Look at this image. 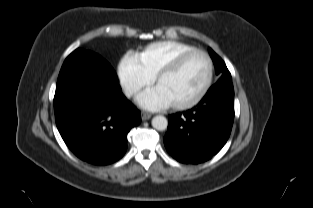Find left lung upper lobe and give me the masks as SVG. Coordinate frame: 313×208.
Listing matches in <instances>:
<instances>
[{"mask_svg":"<svg viewBox=\"0 0 313 208\" xmlns=\"http://www.w3.org/2000/svg\"><path fill=\"white\" fill-rule=\"evenodd\" d=\"M210 53L215 64L216 74L220 76L218 82L231 81V74L224 61L212 49L210 50Z\"/></svg>","mask_w":313,"mask_h":208,"instance_id":"5c2ea615","label":"left lung upper lobe"}]
</instances>
